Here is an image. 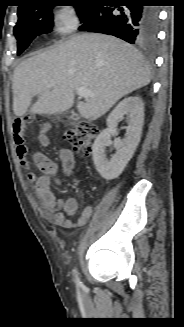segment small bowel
I'll list each match as a JSON object with an SVG mask.
<instances>
[{"mask_svg": "<svg viewBox=\"0 0 184 327\" xmlns=\"http://www.w3.org/2000/svg\"><path fill=\"white\" fill-rule=\"evenodd\" d=\"M47 131L48 127H44L38 135L39 144L43 147L48 146L49 144ZM58 156L63 174L65 176L70 175L75 167V157L73 152L68 148H61L59 149ZM19 157L22 161V165L29 168L30 164L24 159V156ZM34 160L36 166L40 169L42 174L37 175L36 173L30 171L27 174V179L35 186V190L41 201L42 210L45 217L49 221L66 229H72L85 225L87 220L92 215V207H85L79 218L75 221L68 218L67 216L74 215L77 212L78 203L72 197H67L64 199L58 198L53 192L52 184L60 185L64 181V178L59 175L58 164L50 160L42 153H37Z\"/></svg>", "mask_w": 184, "mask_h": 327, "instance_id": "small-bowel-1", "label": "small bowel"}]
</instances>
